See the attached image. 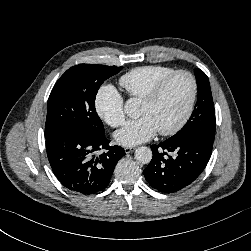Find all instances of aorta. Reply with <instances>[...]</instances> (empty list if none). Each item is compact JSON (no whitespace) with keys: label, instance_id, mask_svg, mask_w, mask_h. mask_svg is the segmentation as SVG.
<instances>
[{"label":"aorta","instance_id":"1","mask_svg":"<svg viewBox=\"0 0 251 251\" xmlns=\"http://www.w3.org/2000/svg\"><path fill=\"white\" fill-rule=\"evenodd\" d=\"M124 110L128 116H133L136 110L135 101L129 99L124 106ZM135 159L142 164H148L152 159L151 149L146 146L138 147L135 151Z\"/></svg>","mask_w":251,"mask_h":251}]
</instances>
